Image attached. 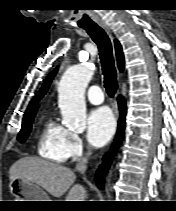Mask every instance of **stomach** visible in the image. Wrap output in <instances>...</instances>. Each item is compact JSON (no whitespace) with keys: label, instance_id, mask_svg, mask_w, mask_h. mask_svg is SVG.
<instances>
[{"label":"stomach","instance_id":"0dacf381","mask_svg":"<svg viewBox=\"0 0 176 211\" xmlns=\"http://www.w3.org/2000/svg\"><path fill=\"white\" fill-rule=\"evenodd\" d=\"M10 193L19 201H50L48 195L39 186L21 178H13L9 183Z\"/></svg>","mask_w":176,"mask_h":211}]
</instances>
